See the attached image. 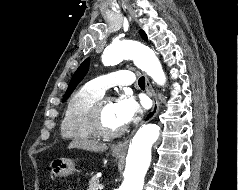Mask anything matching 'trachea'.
I'll return each mask as SVG.
<instances>
[{"label": "trachea", "instance_id": "trachea-1", "mask_svg": "<svg viewBox=\"0 0 238 190\" xmlns=\"http://www.w3.org/2000/svg\"><path fill=\"white\" fill-rule=\"evenodd\" d=\"M138 85H139L141 88H145V78H144V77H141V78L138 80Z\"/></svg>", "mask_w": 238, "mask_h": 190}]
</instances>
